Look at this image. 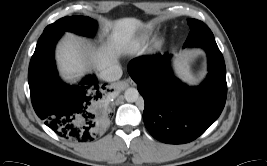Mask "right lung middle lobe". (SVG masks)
<instances>
[{"label":"right lung middle lobe","instance_id":"dd1d6c3e","mask_svg":"<svg viewBox=\"0 0 267 166\" xmlns=\"http://www.w3.org/2000/svg\"><path fill=\"white\" fill-rule=\"evenodd\" d=\"M97 23L86 16H67L61 18L48 25L45 31H70L80 35H93L95 33Z\"/></svg>","mask_w":267,"mask_h":166}]
</instances>
